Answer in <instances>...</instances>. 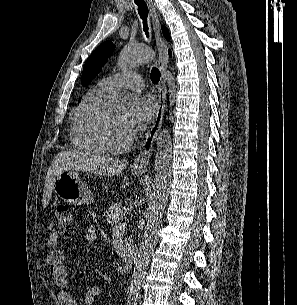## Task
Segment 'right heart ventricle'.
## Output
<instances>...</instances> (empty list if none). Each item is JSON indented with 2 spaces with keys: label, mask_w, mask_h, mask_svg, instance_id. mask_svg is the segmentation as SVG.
<instances>
[{
  "label": "right heart ventricle",
  "mask_w": 297,
  "mask_h": 305,
  "mask_svg": "<svg viewBox=\"0 0 297 305\" xmlns=\"http://www.w3.org/2000/svg\"><path fill=\"white\" fill-rule=\"evenodd\" d=\"M108 96L109 93L97 85L75 108L70 131L74 148L91 154L107 152L99 138L98 126Z\"/></svg>",
  "instance_id": "right-heart-ventricle-1"
}]
</instances>
